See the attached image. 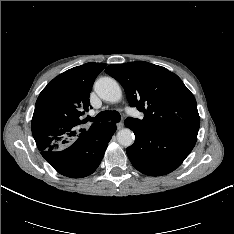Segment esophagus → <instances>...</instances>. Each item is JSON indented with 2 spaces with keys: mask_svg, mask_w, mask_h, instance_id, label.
<instances>
[{
  "mask_svg": "<svg viewBox=\"0 0 234 234\" xmlns=\"http://www.w3.org/2000/svg\"><path fill=\"white\" fill-rule=\"evenodd\" d=\"M116 126H117V129L120 130L124 127V124L122 122H119L116 124Z\"/></svg>",
  "mask_w": 234,
  "mask_h": 234,
  "instance_id": "esophagus-1",
  "label": "esophagus"
}]
</instances>
